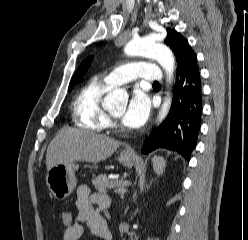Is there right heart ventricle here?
<instances>
[{"label":"right heart ventricle","instance_id":"obj_1","mask_svg":"<svg viewBox=\"0 0 248 240\" xmlns=\"http://www.w3.org/2000/svg\"><path fill=\"white\" fill-rule=\"evenodd\" d=\"M110 87L106 81L94 78L79 91L73 103V119L77 126L93 131L108 127V115L102 98Z\"/></svg>","mask_w":248,"mask_h":240}]
</instances>
